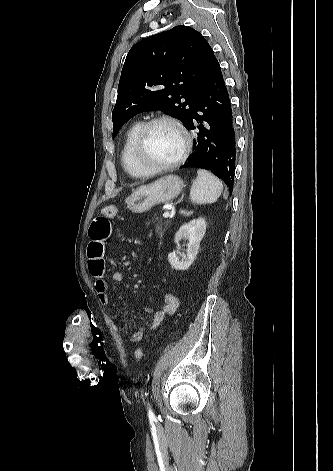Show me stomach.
I'll return each mask as SVG.
<instances>
[{"instance_id": "0dacf381", "label": "stomach", "mask_w": 333, "mask_h": 471, "mask_svg": "<svg viewBox=\"0 0 333 471\" xmlns=\"http://www.w3.org/2000/svg\"><path fill=\"white\" fill-rule=\"evenodd\" d=\"M183 182L177 175H166L149 185L137 188L125 200L133 213H144L153 206L174 200L181 192Z\"/></svg>"}]
</instances>
